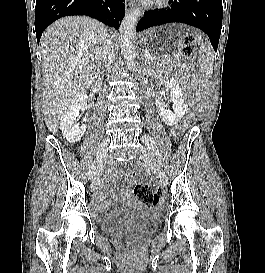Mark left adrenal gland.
Returning <instances> with one entry per match:
<instances>
[{
	"instance_id": "obj_1",
	"label": "left adrenal gland",
	"mask_w": 265,
	"mask_h": 273,
	"mask_svg": "<svg viewBox=\"0 0 265 273\" xmlns=\"http://www.w3.org/2000/svg\"><path fill=\"white\" fill-rule=\"evenodd\" d=\"M142 59L144 60V56L142 55ZM146 63V62H145Z\"/></svg>"
}]
</instances>
